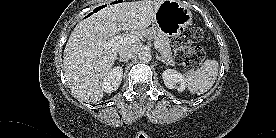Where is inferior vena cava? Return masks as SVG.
Segmentation results:
<instances>
[{"label":"inferior vena cava","mask_w":276,"mask_h":138,"mask_svg":"<svg viewBox=\"0 0 276 138\" xmlns=\"http://www.w3.org/2000/svg\"><path fill=\"white\" fill-rule=\"evenodd\" d=\"M137 47L135 45L131 46V47H126V48H122L118 51V54L120 55V57L124 60H129L133 57H135V55L137 54Z\"/></svg>","instance_id":"602c4592"}]
</instances>
